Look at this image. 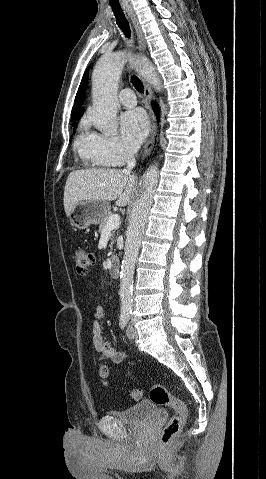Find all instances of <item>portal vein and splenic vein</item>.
I'll return each instance as SVG.
<instances>
[{"label": "portal vein and splenic vein", "mask_w": 266, "mask_h": 479, "mask_svg": "<svg viewBox=\"0 0 266 479\" xmlns=\"http://www.w3.org/2000/svg\"><path fill=\"white\" fill-rule=\"evenodd\" d=\"M120 224V216L118 214H115V215H112L108 221H107V224L104 228V232L105 231H111L115 228H117Z\"/></svg>", "instance_id": "obj_1"}]
</instances>
